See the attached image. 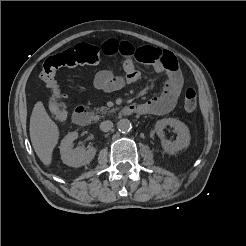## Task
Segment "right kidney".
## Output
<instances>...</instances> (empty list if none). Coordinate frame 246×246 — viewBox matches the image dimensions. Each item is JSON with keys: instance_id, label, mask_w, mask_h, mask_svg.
Returning <instances> with one entry per match:
<instances>
[{"instance_id": "ca27d5eb", "label": "right kidney", "mask_w": 246, "mask_h": 246, "mask_svg": "<svg viewBox=\"0 0 246 246\" xmlns=\"http://www.w3.org/2000/svg\"><path fill=\"white\" fill-rule=\"evenodd\" d=\"M78 138L76 131L68 133L60 144V154L63 163L71 167H81L89 164L96 155V149L89 147L85 150L83 147L72 148V143Z\"/></svg>"}]
</instances>
